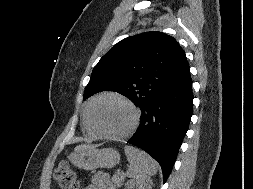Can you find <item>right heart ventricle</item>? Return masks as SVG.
<instances>
[{
    "label": "right heart ventricle",
    "instance_id": "1",
    "mask_svg": "<svg viewBox=\"0 0 253 189\" xmlns=\"http://www.w3.org/2000/svg\"><path fill=\"white\" fill-rule=\"evenodd\" d=\"M90 104H91V102L87 103L84 110H83V127L88 135L95 136L96 134L91 129L89 122H88V116H87Z\"/></svg>",
    "mask_w": 253,
    "mask_h": 189
}]
</instances>
